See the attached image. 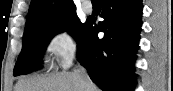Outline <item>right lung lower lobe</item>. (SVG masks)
<instances>
[{
    "instance_id": "98d812e1",
    "label": "right lung lower lobe",
    "mask_w": 173,
    "mask_h": 91,
    "mask_svg": "<svg viewBox=\"0 0 173 91\" xmlns=\"http://www.w3.org/2000/svg\"><path fill=\"white\" fill-rule=\"evenodd\" d=\"M101 17L88 22L78 42V57L94 83L104 91H132L133 65L141 29V0H101ZM98 32H104L100 39Z\"/></svg>"
}]
</instances>
